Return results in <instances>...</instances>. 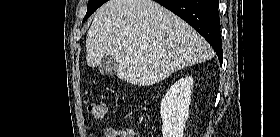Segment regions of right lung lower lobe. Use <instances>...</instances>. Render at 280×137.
Here are the masks:
<instances>
[{"label": "right lung lower lobe", "instance_id": "obj_1", "mask_svg": "<svg viewBox=\"0 0 280 137\" xmlns=\"http://www.w3.org/2000/svg\"><path fill=\"white\" fill-rule=\"evenodd\" d=\"M190 24L215 50L220 64L223 50L220 37L219 0H155Z\"/></svg>", "mask_w": 280, "mask_h": 137}]
</instances>
